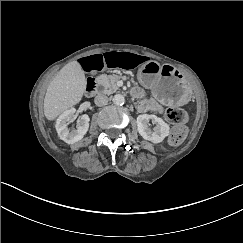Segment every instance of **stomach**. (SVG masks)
Wrapping results in <instances>:
<instances>
[{
  "instance_id": "1",
  "label": "stomach",
  "mask_w": 243,
  "mask_h": 243,
  "mask_svg": "<svg viewBox=\"0 0 243 243\" xmlns=\"http://www.w3.org/2000/svg\"><path fill=\"white\" fill-rule=\"evenodd\" d=\"M137 78L163 105L182 106L191 98L190 84L172 65L148 61L138 70Z\"/></svg>"
}]
</instances>
